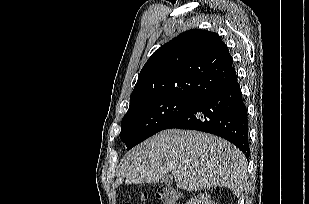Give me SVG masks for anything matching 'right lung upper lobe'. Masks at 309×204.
I'll use <instances>...</instances> for the list:
<instances>
[{
  "label": "right lung upper lobe",
  "instance_id": "obj_1",
  "mask_svg": "<svg viewBox=\"0 0 309 204\" xmlns=\"http://www.w3.org/2000/svg\"><path fill=\"white\" fill-rule=\"evenodd\" d=\"M221 37L192 29L156 50L142 68L130 105L166 96L200 99L237 79Z\"/></svg>",
  "mask_w": 309,
  "mask_h": 204
}]
</instances>
